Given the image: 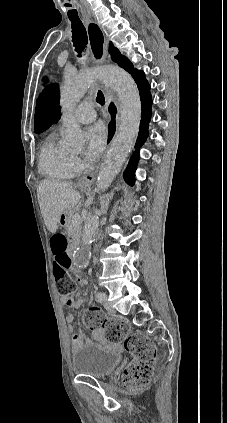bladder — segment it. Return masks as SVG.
<instances>
[{
	"label": "bladder",
	"instance_id": "31cf9c89",
	"mask_svg": "<svg viewBox=\"0 0 227 423\" xmlns=\"http://www.w3.org/2000/svg\"><path fill=\"white\" fill-rule=\"evenodd\" d=\"M122 359L117 351L105 349L96 343L83 344L72 355V371L78 376L107 379L116 372Z\"/></svg>",
	"mask_w": 227,
	"mask_h": 423
}]
</instances>
